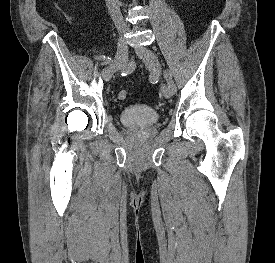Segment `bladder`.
<instances>
[{
	"mask_svg": "<svg viewBox=\"0 0 275 263\" xmlns=\"http://www.w3.org/2000/svg\"><path fill=\"white\" fill-rule=\"evenodd\" d=\"M159 117L157 111L144 105L129 106L119 113V119L122 124L135 128L153 126L158 122Z\"/></svg>",
	"mask_w": 275,
	"mask_h": 263,
	"instance_id": "31cf9c89",
	"label": "bladder"
}]
</instances>
